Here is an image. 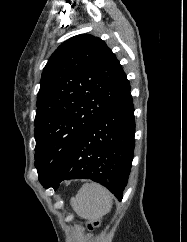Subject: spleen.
<instances>
[{"instance_id": "3e777b00", "label": "spleen", "mask_w": 187, "mask_h": 242, "mask_svg": "<svg viewBox=\"0 0 187 242\" xmlns=\"http://www.w3.org/2000/svg\"><path fill=\"white\" fill-rule=\"evenodd\" d=\"M113 204L112 194L97 183H86L71 199V206L82 218L95 220L110 212Z\"/></svg>"}]
</instances>
